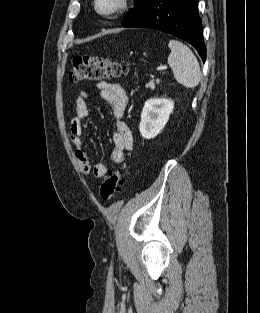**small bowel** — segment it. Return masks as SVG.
<instances>
[{
  "instance_id": "obj_1",
  "label": "small bowel",
  "mask_w": 260,
  "mask_h": 313,
  "mask_svg": "<svg viewBox=\"0 0 260 313\" xmlns=\"http://www.w3.org/2000/svg\"><path fill=\"white\" fill-rule=\"evenodd\" d=\"M101 98L111 104L117 130L112 134L111 160L115 164L125 162V153L133 148V136L131 130L123 121V116L128 104V95L124 88L111 82H100L97 85ZM87 94L82 92L76 99L75 115L70 121L71 142L74 148L75 158L85 174H91L96 178H103L109 171V167L103 164H92L84 149L83 122L89 115L87 106Z\"/></svg>"
}]
</instances>
